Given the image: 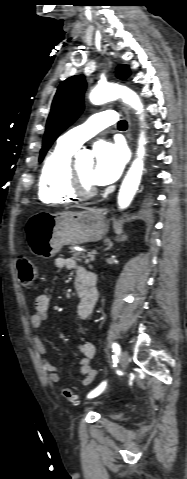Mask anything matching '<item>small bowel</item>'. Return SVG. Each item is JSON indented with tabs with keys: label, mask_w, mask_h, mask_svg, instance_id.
<instances>
[{
	"label": "small bowel",
	"mask_w": 187,
	"mask_h": 479,
	"mask_svg": "<svg viewBox=\"0 0 187 479\" xmlns=\"http://www.w3.org/2000/svg\"><path fill=\"white\" fill-rule=\"evenodd\" d=\"M55 266L58 269H68L76 272L75 289L80 301L76 312L75 326L81 328L92 316L98 299L97 291L95 289L90 292H86L84 289L85 280L92 274L75 259L69 257L56 258ZM33 307L34 313L30 316V324L34 330L32 336L34 350L40 358L43 369L48 373L49 379L53 383H59L61 380L59 370L45 357L46 349L40 335L41 325L43 321L47 319L49 314V296L47 294H39L33 301ZM77 347L83 356L80 361V370L82 374L81 385L89 386L98 376V371L92 369L89 365L90 360L94 358L96 354V348L91 342L79 343Z\"/></svg>",
	"instance_id": "1"
}]
</instances>
